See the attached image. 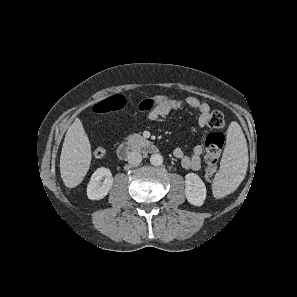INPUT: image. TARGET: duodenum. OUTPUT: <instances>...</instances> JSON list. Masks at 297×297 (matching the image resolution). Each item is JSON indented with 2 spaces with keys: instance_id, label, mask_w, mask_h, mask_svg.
Masks as SVG:
<instances>
[{
  "instance_id": "410a0bca",
  "label": "duodenum",
  "mask_w": 297,
  "mask_h": 297,
  "mask_svg": "<svg viewBox=\"0 0 297 297\" xmlns=\"http://www.w3.org/2000/svg\"><path fill=\"white\" fill-rule=\"evenodd\" d=\"M156 149V146L152 142L145 139L137 142L126 141L118 146L117 154L121 160H127L136 151L155 153Z\"/></svg>"
}]
</instances>
